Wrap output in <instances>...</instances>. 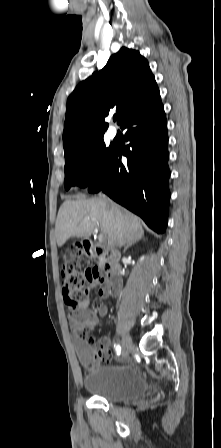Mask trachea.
<instances>
[{
	"label": "trachea",
	"mask_w": 221,
	"mask_h": 448,
	"mask_svg": "<svg viewBox=\"0 0 221 448\" xmlns=\"http://www.w3.org/2000/svg\"><path fill=\"white\" fill-rule=\"evenodd\" d=\"M113 120L114 121H116L117 120V116L115 115V116H113Z\"/></svg>",
	"instance_id": "3493384b"
}]
</instances>
